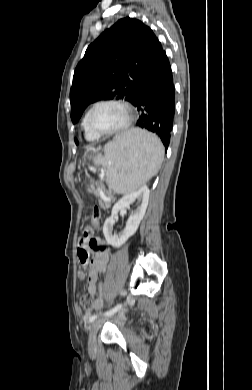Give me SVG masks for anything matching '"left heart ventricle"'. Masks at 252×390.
Masks as SVG:
<instances>
[{"label":"left heart ventricle","instance_id":"obj_1","mask_svg":"<svg viewBox=\"0 0 252 390\" xmlns=\"http://www.w3.org/2000/svg\"><path fill=\"white\" fill-rule=\"evenodd\" d=\"M125 119L126 113L120 106L104 104L95 109L92 124L98 130L109 131L119 127Z\"/></svg>","mask_w":252,"mask_h":390}]
</instances>
